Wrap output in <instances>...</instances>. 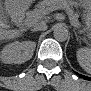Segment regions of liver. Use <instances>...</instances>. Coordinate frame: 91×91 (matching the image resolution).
Masks as SVG:
<instances>
[{
  "mask_svg": "<svg viewBox=\"0 0 91 91\" xmlns=\"http://www.w3.org/2000/svg\"><path fill=\"white\" fill-rule=\"evenodd\" d=\"M34 21L31 22L32 24H34L36 22V19H33ZM24 30H20V31H15V30H11V31H3L1 33V37L4 39H13V38H17L21 35V33Z\"/></svg>",
  "mask_w": 91,
  "mask_h": 91,
  "instance_id": "1",
  "label": "liver"
}]
</instances>
